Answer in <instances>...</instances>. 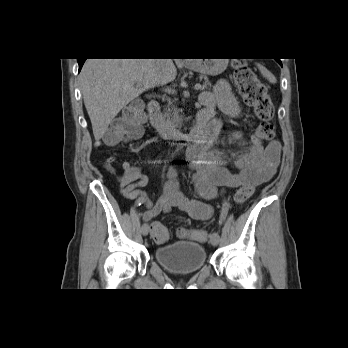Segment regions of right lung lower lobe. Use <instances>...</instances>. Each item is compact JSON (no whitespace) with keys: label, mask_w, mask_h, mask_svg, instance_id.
Returning a JSON list of instances; mask_svg holds the SVG:
<instances>
[{"label":"right lung lower lobe","mask_w":348,"mask_h":348,"mask_svg":"<svg viewBox=\"0 0 348 348\" xmlns=\"http://www.w3.org/2000/svg\"><path fill=\"white\" fill-rule=\"evenodd\" d=\"M86 59H78V63H79V71L81 70L84 62H85Z\"/></svg>","instance_id":"1"}]
</instances>
